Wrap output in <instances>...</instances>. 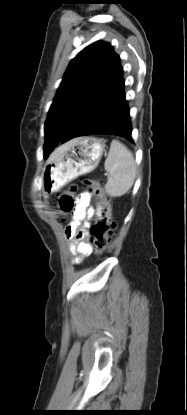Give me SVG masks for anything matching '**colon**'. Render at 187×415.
I'll use <instances>...</instances> for the list:
<instances>
[{"instance_id":"1","label":"colon","mask_w":187,"mask_h":415,"mask_svg":"<svg viewBox=\"0 0 187 415\" xmlns=\"http://www.w3.org/2000/svg\"><path fill=\"white\" fill-rule=\"evenodd\" d=\"M83 185L91 190L102 205L101 217L89 229V234L93 240L94 251L96 254H101L109 246L116 229V221L112 217L111 201L99 182L84 179ZM75 191L76 188L72 187L67 193L61 196L60 208L64 212H70L76 206L77 200L74 198Z\"/></svg>"}]
</instances>
